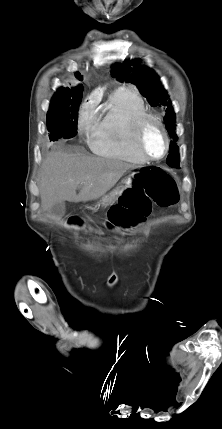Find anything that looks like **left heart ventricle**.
Listing matches in <instances>:
<instances>
[{
	"label": "left heart ventricle",
	"instance_id": "obj_1",
	"mask_svg": "<svg viewBox=\"0 0 222 429\" xmlns=\"http://www.w3.org/2000/svg\"><path fill=\"white\" fill-rule=\"evenodd\" d=\"M142 144L146 152L153 157H160L165 150L164 136L154 121H148L142 134Z\"/></svg>",
	"mask_w": 222,
	"mask_h": 429
}]
</instances>
